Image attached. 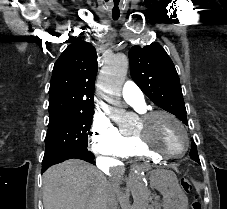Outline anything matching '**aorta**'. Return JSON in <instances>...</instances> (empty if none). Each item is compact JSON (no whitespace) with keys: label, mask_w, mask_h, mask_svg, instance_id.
I'll return each instance as SVG.
<instances>
[{"label":"aorta","mask_w":227,"mask_h":209,"mask_svg":"<svg viewBox=\"0 0 227 209\" xmlns=\"http://www.w3.org/2000/svg\"><path fill=\"white\" fill-rule=\"evenodd\" d=\"M128 58L124 54L109 57L100 71L97 87L103 99L109 103L117 104L123 83L128 71ZM108 114H122L124 111L101 103ZM129 188L133 197L132 209H149V190L142 169L134 165L129 173Z\"/></svg>","instance_id":"1"}]
</instances>
